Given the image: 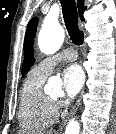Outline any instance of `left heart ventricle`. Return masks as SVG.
<instances>
[{
	"instance_id": "1",
	"label": "left heart ventricle",
	"mask_w": 116,
	"mask_h": 134,
	"mask_svg": "<svg viewBox=\"0 0 116 134\" xmlns=\"http://www.w3.org/2000/svg\"><path fill=\"white\" fill-rule=\"evenodd\" d=\"M53 97H57V95L56 94H54V95H52Z\"/></svg>"
}]
</instances>
